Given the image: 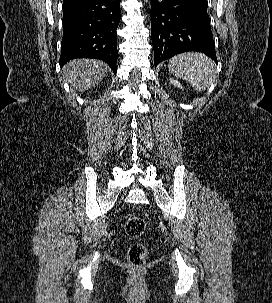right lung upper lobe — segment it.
I'll return each mask as SVG.
<instances>
[{
  "label": "right lung upper lobe",
  "mask_w": 272,
  "mask_h": 303,
  "mask_svg": "<svg viewBox=\"0 0 272 303\" xmlns=\"http://www.w3.org/2000/svg\"><path fill=\"white\" fill-rule=\"evenodd\" d=\"M76 1H78V0H63V6H64V5L71 4V3H74V2H76Z\"/></svg>",
  "instance_id": "1"
}]
</instances>
